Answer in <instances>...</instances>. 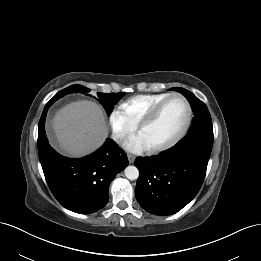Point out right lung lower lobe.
Returning <instances> with one entry per match:
<instances>
[{
    "mask_svg": "<svg viewBox=\"0 0 261 261\" xmlns=\"http://www.w3.org/2000/svg\"><path fill=\"white\" fill-rule=\"evenodd\" d=\"M51 100L46 104L38 131V153L47 184L58 202L79 214L102 209L109 199V185L116 174L128 165L123 150L110 138L96 152L80 159L58 154L48 143L45 117Z\"/></svg>",
    "mask_w": 261,
    "mask_h": 261,
    "instance_id": "right-lung-lower-lobe-1",
    "label": "right lung lower lobe"
}]
</instances>
